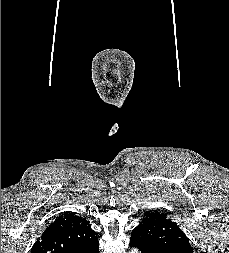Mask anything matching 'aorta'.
<instances>
[{
    "mask_svg": "<svg viewBox=\"0 0 229 253\" xmlns=\"http://www.w3.org/2000/svg\"><path fill=\"white\" fill-rule=\"evenodd\" d=\"M130 253H139L138 249H132Z\"/></svg>",
    "mask_w": 229,
    "mask_h": 253,
    "instance_id": "762f6f07",
    "label": "aorta"
}]
</instances>
